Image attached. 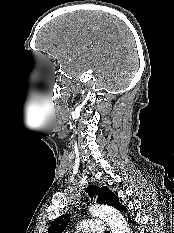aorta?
I'll return each instance as SVG.
<instances>
[{
	"instance_id": "obj_1",
	"label": "aorta",
	"mask_w": 174,
	"mask_h": 233,
	"mask_svg": "<svg viewBox=\"0 0 174 233\" xmlns=\"http://www.w3.org/2000/svg\"><path fill=\"white\" fill-rule=\"evenodd\" d=\"M89 212L96 217L105 220L112 233H130V228L123 216L113 207L107 205L91 206Z\"/></svg>"
}]
</instances>
